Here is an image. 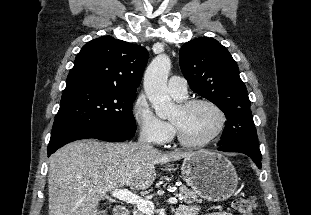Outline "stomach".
<instances>
[{
	"label": "stomach",
	"mask_w": 311,
	"mask_h": 215,
	"mask_svg": "<svg viewBox=\"0 0 311 215\" xmlns=\"http://www.w3.org/2000/svg\"><path fill=\"white\" fill-rule=\"evenodd\" d=\"M182 177L192 191L211 202L230 198L238 184V176L232 163L216 152L202 151L184 159Z\"/></svg>",
	"instance_id": "stomach-1"
}]
</instances>
